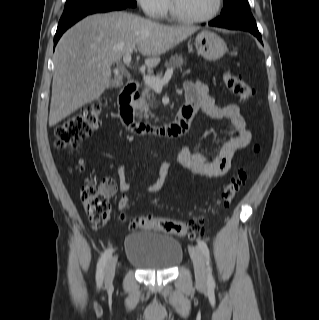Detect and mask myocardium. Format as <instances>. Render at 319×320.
<instances>
[{"label":"myocardium","instance_id":"myocardium-1","mask_svg":"<svg viewBox=\"0 0 319 320\" xmlns=\"http://www.w3.org/2000/svg\"><path fill=\"white\" fill-rule=\"evenodd\" d=\"M223 6V0H216V5L214 10L203 17H189V16H185L180 14L177 9L175 8V5L173 3V0L169 1V12H170V16L181 23H190V24H200V23H206L209 22L211 20H213L221 11Z\"/></svg>","mask_w":319,"mask_h":320}]
</instances>
